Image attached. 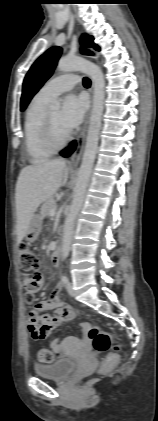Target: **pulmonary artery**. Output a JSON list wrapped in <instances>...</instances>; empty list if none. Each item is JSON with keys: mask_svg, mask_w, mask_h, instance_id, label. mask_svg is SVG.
Returning <instances> with one entry per match:
<instances>
[{"mask_svg": "<svg viewBox=\"0 0 158 421\" xmlns=\"http://www.w3.org/2000/svg\"><path fill=\"white\" fill-rule=\"evenodd\" d=\"M78 83V77L73 73L59 75L48 81L38 94L48 100H53L58 95L71 90Z\"/></svg>", "mask_w": 158, "mask_h": 421, "instance_id": "pulmonary-artery-1", "label": "pulmonary artery"}]
</instances>
